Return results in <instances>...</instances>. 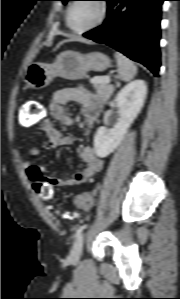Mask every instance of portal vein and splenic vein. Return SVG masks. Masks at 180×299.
Instances as JSON below:
<instances>
[{
	"label": "portal vein and splenic vein",
	"instance_id": "portal-vein-and-splenic-vein-1",
	"mask_svg": "<svg viewBox=\"0 0 180 299\" xmlns=\"http://www.w3.org/2000/svg\"><path fill=\"white\" fill-rule=\"evenodd\" d=\"M109 81H110V78H109V77H106L105 82H106V83H109Z\"/></svg>",
	"mask_w": 180,
	"mask_h": 299
}]
</instances>
